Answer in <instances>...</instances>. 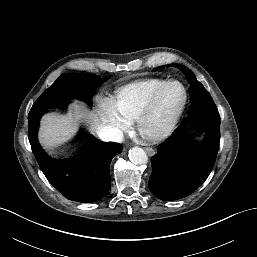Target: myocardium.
I'll return each mask as SVG.
<instances>
[{"label": "myocardium", "mask_w": 257, "mask_h": 257, "mask_svg": "<svg viewBox=\"0 0 257 257\" xmlns=\"http://www.w3.org/2000/svg\"><path fill=\"white\" fill-rule=\"evenodd\" d=\"M171 85H178L183 91V100L177 110L171 115L166 124L155 132H150L146 129L145 124L148 118L152 115L156 106L160 100L163 92ZM188 101V93L186 87L177 80L167 81L162 84L150 97L144 107L140 110L136 116V125L139 133L143 138L151 142L161 141L167 138L176 128Z\"/></svg>", "instance_id": "f54148a6"}]
</instances>
